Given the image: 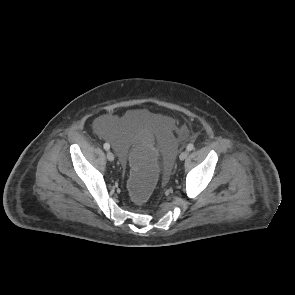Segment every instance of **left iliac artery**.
<instances>
[{
  "mask_svg": "<svg viewBox=\"0 0 295 295\" xmlns=\"http://www.w3.org/2000/svg\"><path fill=\"white\" fill-rule=\"evenodd\" d=\"M186 149H187V151H191L194 149V145L190 143L187 145Z\"/></svg>",
  "mask_w": 295,
  "mask_h": 295,
  "instance_id": "left-iliac-artery-1",
  "label": "left iliac artery"
}]
</instances>
